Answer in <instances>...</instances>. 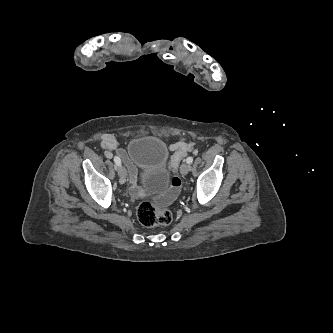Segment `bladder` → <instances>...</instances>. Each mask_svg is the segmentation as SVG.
Masks as SVG:
<instances>
[{
  "label": "bladder",
  "mask_w": 333,
  "mask_h": 333,
  "mask_svg": "<svg viewBox=\"0 0 333 333\" xmlns=\"http://www.w3.org/2000/svg\"><path fill=\"white\" fill-rule=\"evenodd\" d=\"M127 156L145 172V186L152 192L165 190L170 175L165 169L168 149L162 139L156 136H137L127 146Z\"/></svg>",
  "instance_id": "1"
}]
</instances>
